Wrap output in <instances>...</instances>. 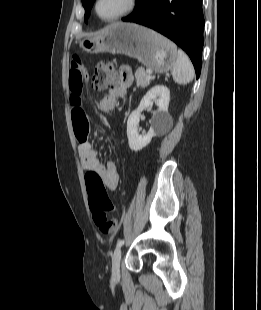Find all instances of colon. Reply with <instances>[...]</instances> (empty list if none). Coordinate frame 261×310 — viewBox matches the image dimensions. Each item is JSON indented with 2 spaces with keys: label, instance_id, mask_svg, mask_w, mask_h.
Wrapping results in <instances>:
<instances>
[{
  "label": "colon",
  "instance_id": "obj_1",
  "mask_svg": "<svg viewBox=\"0 0 261 310\" xmlns=\"http://www.w3.org/2000/svg\"><path fill=\"white\" fill-rule=\"evenodd\" d=\"M117 84L113 65L109 61H100L95 66L91 85L95 91H103ZM89 205L93 213V220L103 234H110L116 230L117 222L108 217L107 213L114 210L101 176L95 171L85 174Z\"/></svg>",
  "mask_w": 261,
  "mask_h": 310
}]
</instances>
